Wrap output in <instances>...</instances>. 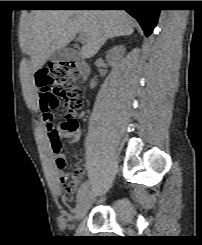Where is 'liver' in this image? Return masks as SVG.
I'll return each mask as SVG.
<instances>
[{
    "instance_id": "6515ba94",
    "label": "liver",
    "mask_w": 202,
    "mask_h": 245,
    "mask_svg": "<svg viewBox=\"0 0 202 245\" xmlns=\"http://www.w3.org/2000/svg\"><path fill=\"white\" fill-rule=\"evenodd\" d=\"M134 20L120 10H36L20 34V46L31 56L34 70L58 49L66 47L78 32L86 41L83 58L93 57L109 38L134 32Z\"/></svg>"
}]
</instances>
